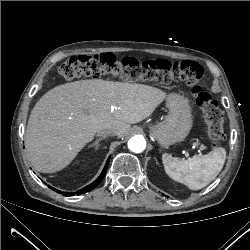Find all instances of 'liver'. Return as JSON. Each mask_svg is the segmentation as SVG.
Masks as SVG:
<instances>
[{"mask_svg":"<svg viewBox=\"0 0 250 250\" xmlns=\"http://www.w3.org/2000/svg\"><path fill=\"white\" fill-rule=\"evenodd\" d=\"M166 98L162 90L101 79L59 85L34 106L25 147L39 172L64 169L99 130L114 129L119 138L131 124L149 117Z\"/></svg>","mask_w":250,"mask_h":250,"instance_id":"1","label":"liver"}]
</instances>
